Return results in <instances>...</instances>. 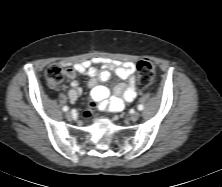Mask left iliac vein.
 Listing matches in <instances>:
<instances>
[{"label":"left iliac vein","mask_w":222,"mask_h":187,"mask_svg":"<svg viewBox=\"0 0 222 187\" xmlns=\"http://www.w3.org/2000/svg\"><path fill=\"white\" fill-rule=\"evenodd\" d=\"M139 117H140V112L136 111V112H134L133 114L130 115V120L131 121H136V120L139 119Z\"/></svg>","instance_id":"4c4485c4"}]
</instances>
